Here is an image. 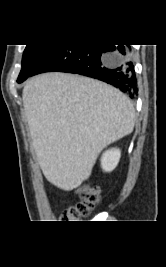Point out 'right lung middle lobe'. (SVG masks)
Here are the masks:
<instances>
[{
    "label": "right lung middle lobe",
    "instance_id": "1",
    "mask_svg": "<svg viewBox=\"0 0 166 267\" xmlns=\"http://www.w3.org/2000/svg\"><path fill=\"white\" fill-rule=\"evenodd\" d=\"M54 46V44L27 45L23 53L22 69L17 82L21 83L26 80Z\"/></svg>",
    "mask_w": 166,
    "mask_h": 267
}]
</instances>
